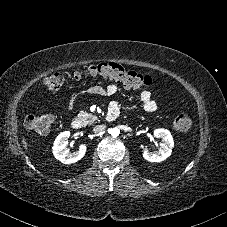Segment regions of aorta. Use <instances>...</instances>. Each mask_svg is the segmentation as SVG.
I'll list each match as a JSON object with an SVG mask.
<instances>
[{
    "label": "aorta",
    "mask_w": 227,
    "mask_h": 227,
    "mask_svg": "<svg viewBox=\"0 0 227 227\" xmlns=\"http://www.w3.org/2000/svg\"><path fill=\"white\" fill-rule=\"evenodd\" d=\"M119 133H120V131H119L118 128H113V129L111 130V135H112L113 137H117V136L119 135Z\"/></svg>",
    "instance_id": "aorta-1"
}]
</instances>
